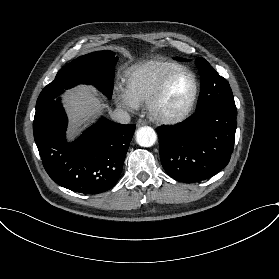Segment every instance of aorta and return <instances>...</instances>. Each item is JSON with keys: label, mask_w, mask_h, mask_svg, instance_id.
I'll return each instance as SVG.
<instances>
[{"label": "aorta", "mask_w": 279, "mask_h": 279, "mask_svg": "<svg viewBox=\"0 0 279 279\" xmlns=\"http://www.w3.org/2000/svg\"><path fill=\"white\" fill-rule=\"evenodd\" d=\"M157 140V134L153 128L144 126L138 129L136 141L142 147H151Z\"/></svg>", "instance_id": "762f6f07"}]
</instances>
